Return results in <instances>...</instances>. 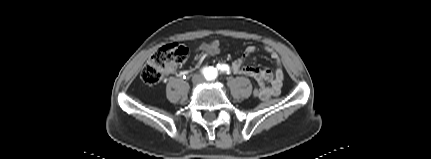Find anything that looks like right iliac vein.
I'll return each instance as SVG.
<instances>
[{
  "label": "right iliac vein",
  "instance_id": "obj_1",
  "mask_svg": "<svg viewBox=\"0 0 431 159\" xmlns=\"http://www.w3.org/2000/svg\"><path fill=\"white\" fill-rule=\"evenodd\" d=\"M201 80H202V78H201V76H200V75H194V76H193V78H192V82H193L194 84L199 83Z\"/></svg>",
  "mask_w": 431,
  "mask_h": 159
}]
</instances>
